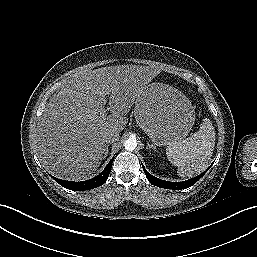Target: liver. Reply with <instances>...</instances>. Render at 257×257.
Here are the masks:
<instances>
[{
	"instance_id": "obj_1",
	"label": "liver",
	"mask_w": 257,
	"mask_h": 257,
	"mask_svg": "<svg viewBox=\"0 0 257 257\" xmlns=\"http://www.w3.org/2000/svg\"><path fill=\"white\" fill-rule=\"evenodd\" d=\"M158 74L154 67L117 65L70 79L49 99L38 126V153L45 169L64 179H86L106 153L102 134L124 129L126 115Z\"/></svg>"
}]
</instances>
